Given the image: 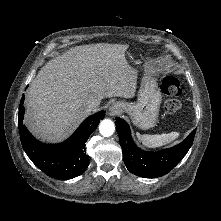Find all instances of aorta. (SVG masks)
Wrapping results in <instances>:
<instances>
[{"instance_id":"obj_1","label":"aorta","mask_w":221,"mask_h":221,"mask_svg":"<svg viewBox=\"0 0 221 221\" xmlns=\"http://www.w3.org/2000/svg\"><path fill=\"white\" fill-rule=\"evenodd\" d=\"M114 130H115L114 123L109 119L103 120L99 125V131L101 135L105 137L111 136L114 133Z\"/></svg>"}]
</instances>
